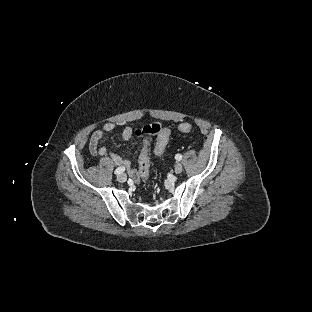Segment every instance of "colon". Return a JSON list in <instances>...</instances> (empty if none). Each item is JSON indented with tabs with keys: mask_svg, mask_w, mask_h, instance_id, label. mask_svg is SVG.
<instances>
[{
	"mask_svg": "<svg viewBox=\"0 0 312 312\" xmlns=\"http://www.w3.org/2000/svg\"><path fill=\"white\" fill-rule=\"evenodd\" d=\"M191 126L188 123L182 124L180 126V131L182 133H187L190 131ZM161 130V125L157 122H153L151 124H148L144 127L143 132L145 135H150L153 136L157 134ZM174 135V132L172 129L167 128L163 130L158 137L155 140L154 144V150L156 154V158L159 161L164 160L165 155H164V150L166 148V142L169 141L170 138H172ZM139 176L140 179L143 182H148L151 170H150V159H149V154L146 151H142L141 154L139 155Z\"/></svg>",
	"mask_w": 312,
	"mask_h": 312,
	"instance_id": "5ec220e1",
	"label": "colon"
}]
</instances>
